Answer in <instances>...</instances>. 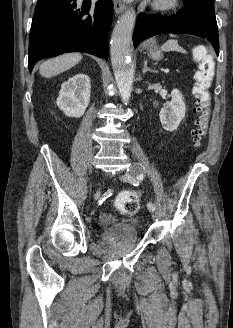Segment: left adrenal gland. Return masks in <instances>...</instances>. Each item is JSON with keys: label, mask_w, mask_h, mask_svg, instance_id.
<instances>
[{"label": "left adrenal gland", "mask_w": 233, "mask_h": 328, "mask_svg": "<svg viewBox=\"0 0 233 328\" xmlns=\"http://www.w3.org/2000/svg\"><path fill=\"white\" fill-rule=\"evenodd\" d=\"M147 72H151V73H157L156 70L151 69L150 67H147V60L144 61V67L142 69V73L145 74Z\"/></svg>", "instance_id": "obj_1"}]
</instances>
